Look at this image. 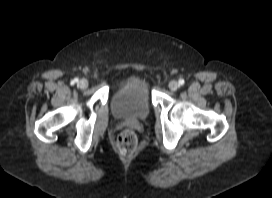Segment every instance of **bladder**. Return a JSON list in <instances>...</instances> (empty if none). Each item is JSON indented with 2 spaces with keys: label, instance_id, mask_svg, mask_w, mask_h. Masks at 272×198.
Wrapping results in <instances>:
<instances>
[{
  "label": "bladder",
  "instance_id": "31cf9c89",
  "mask_svg": "<svg viewBox=\"0 0 272 198\" xmlns=\"http://www.w3.org/2000/svg\"><path fill=\"white\" fill-rule=\"evenodd\" d=\"M150 108V91L142 83L120 88L110 100L111 112L119 120L143 121L148 117Z\"/></svg>",
  "mask_w": 272,
  "mask_h": 198
}]
</instances>
